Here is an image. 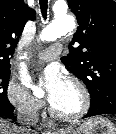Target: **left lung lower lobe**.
Listing matches in <instances>:
<instances>
[{
  "label": "left lung lower lobe",
  "instance_id": "left-lung-lower-lobe-1",
  "mask_svg": "<svg viewBox=\"0 0 116 134\" xmlns=\"http://www.w3.org/2000/svg\"><path fill=\"white\" fill-rule=\"evenodd\" d=\"M102 114H116V101L91 104L86 117H92Z\"/></svg>",
  "mask_w": 116,
  "mask_h": 134
}]
</instances>
